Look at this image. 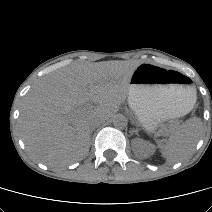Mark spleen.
<instances>
[{
    "label": "spleen",
    "mask_w": 212,
    "mask_h": 212,
    "mask_svg": "<svg viewBox=\"0 0 212 212\" xmlns=\"http://www.w3.org/2000/svg\"><path fill=\"white\" fill-rule=\"evenodd\" d=\"M203 130L200 119H190L179 127L168 139L160 146V152L168 163H175L190 156L196 143L198 142Z\"/></svg>",
    "instance_id": "spleen-1"
}]
</instances>
